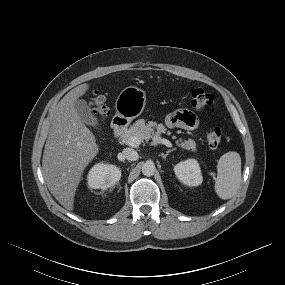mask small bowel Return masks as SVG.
<instances>
[{"mask_svg": "<svg viewBox=\"0 0 285 285\" xmlns=\"http://www.w3.org/2000/svg\"><path fill=\"white\" fill-rule=\"evenodd\" d=\"M166 123L171 127L194 130L199 126V119L193 112L180 109L170 113L166 118Z\"/></svg>", "mask_w": 285, "mask_h": 285, "instance_id": "c3829d8e", "label": "small bowel"}]
</instances>
